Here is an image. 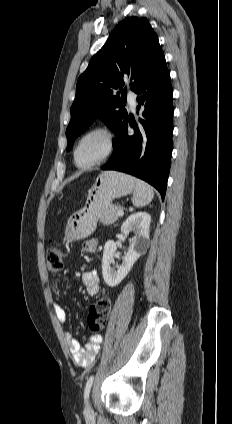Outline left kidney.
Returning <instances> with one entry per match:
<instances>
[{"mask_svg":"<svg viewBox=\"0 0 232 424\" xmlns=\"http://www.w3.org/2000/svg\"><path fill=\"white\" fill-rule=\"evenodd\" d=\"M150 223L151 216L146 212L134 213L124 221L121 226V232L125 236L129 235L130 232H134L136 237L130 244L128 252L117 270L111 267L117 249L116 243L112 240L107 241L102 258V275L108 286H117L127 276L137 259L147 250Z\"/></svg>","mask_w":232,"mask_h":424,"instance_id":"1","label":"left kidney"}]
</instances>
